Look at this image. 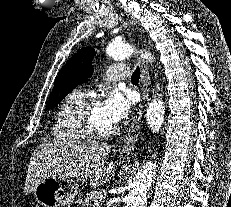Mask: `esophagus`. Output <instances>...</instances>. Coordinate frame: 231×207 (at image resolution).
<instances>
[{"label":"esophagus","mask_w":231,"mask_h":207,"mask_svg":"<svg viewBox=\"0 0 231 207\" xmlns=\"http://www.w3.org/2000/svg\"><path fill=\"white\" fill-rule=\"evenodd\" d=\"M141 83H142V87H141L142 100L136 109V112L132 118L130 128L128 129L124 141L122 143L121 150L124 153L134 152L136 143L138 141V137L141 132V121L144 113V101L146 96L148 95L149 86L151 84V77L146 65L142 66Z\"/></svg>","instance_id":"obj_1"}]
</instances>
